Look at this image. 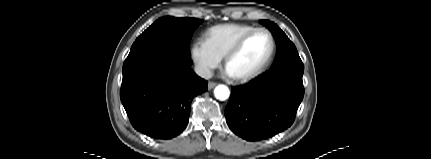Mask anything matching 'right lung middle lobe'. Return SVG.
Wrapping results in <instances>:
<instances>
[{
  "label": "right lung middle lobe",
  "mask_w": 431,
  "mask_h": 159,
  "mask_svg": "<svg viewBox=\"0 0 431 159\" xmlns=\"http://www.w3.org/2000/svg\"><path fill=\"white\" fill-rule=\"evenodd\" d=\"M203 20L195 18L162 17L147 28L133 43L130 52L149 45L161 44L190 55L189 43L196 27Z\"/></svg>",
  "instance_id": "obj_1"
}]
</instances>
